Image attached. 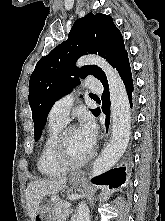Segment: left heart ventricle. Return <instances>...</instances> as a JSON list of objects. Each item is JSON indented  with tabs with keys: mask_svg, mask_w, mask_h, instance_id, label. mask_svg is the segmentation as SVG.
Instances as JSON below:
<instances>
[{
	"mask_svg": "<svg viewBox=\"0 0 165 221\" xmlns=\"http://www.w3.org/2000/svg\"><path fill=\"white\" fill-rule=\"evenodd\" d=\"M92 146L87 142L79 129L71 131L65 142L68 157L73 161L83 159L91 150Z\"/></svg>",
	"mask_w": 165,
	"mask_h": 221,
	"instance_id": "left-heart-ventricle-1",
	"label": "left heart ventricle"
}]
</instances>
